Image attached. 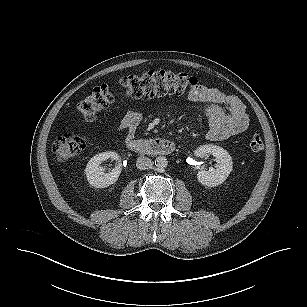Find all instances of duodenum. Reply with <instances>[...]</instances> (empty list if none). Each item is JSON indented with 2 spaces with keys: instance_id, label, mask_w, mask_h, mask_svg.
Segmentation results:
<instances>
[{
  "instance_id": "duodenum-1",
  "label": "duodenum",
  "mask_w": 307,
  "mask_h": 307,
  "mask_svg": "<svg viewBox=\"0 0 307 307\" xmlns=\"http://www.w3.org/2000/svg\"><path fill=\"white\" fill-rule=\"evenodd\" d=\"M126 146L132 152L151 156H167L175 150L174 142L167 138L127 139Z\"/></svg>"
}]
</instances>
